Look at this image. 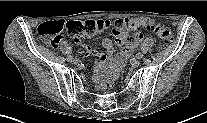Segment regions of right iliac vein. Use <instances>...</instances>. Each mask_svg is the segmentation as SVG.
Returning <instances> with one entry per match:
<instances>
[{
    "instance_id": "right-iliac-vein-1",
    "label": "right iliac vein",
    "mask_w": 207,
    "mask_h": 123,
    "mask_svg": "<svg viewBox=\"0 0 207 123\" xmlns=\"http://www.w3.org/2000/svg\"><path fill=\"white\" fill-rule=\"evenodd\" d=\"M71 62H73L74 64H78L79 63V60L78 59H76V58H74V59H72V61Z\"/></svg>"
}]
</instances>
